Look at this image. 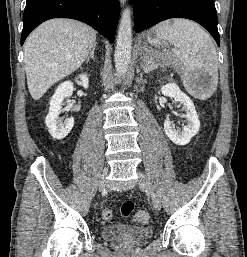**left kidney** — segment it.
<instances>
[{"label":"left kidney","mask_w":247,"mask_h":257,"mask_svg":"<svg viewBox=\"0 0 247 257\" xmlns=\"http://www.w3.org/2000/svg\"><path fill=\"white\" fill-rule=\"evenodd\" d=\"M161 93L164 96L174 98L175 102L183 105L186 114L187 125L183 126L182 131L176 130L173 123L169 120L164 121V130L169 139L177 145H186L194 137L200 127V121L192 100L180 90L176 83H168L161 87Z\"/></svg>","instance_id":"5707ae66"}]
</instances>
